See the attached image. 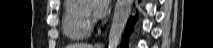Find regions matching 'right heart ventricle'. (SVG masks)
I'll list each match as a JSON object with an SVG mask.
<instances>
[{"mask_svg": "<svg viewBox=\"0 0 213 48\" xmlns=\"http://www.w3.org/2000/svg\"><path fill=\"white\" fill-rule=\"evenodd\" d=\"M62 30L71 40H81L90 34V25L83 17L78 1H66L62 15Z\"/></svg>", "mask_w": 213, "mask_h": 48, "instance_id": "right-heart-ventricle-1", "label": "right heart ventricle"}]
</instances>
